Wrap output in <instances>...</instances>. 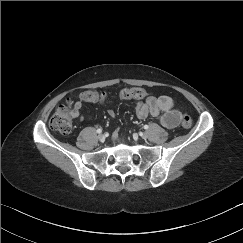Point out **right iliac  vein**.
Wrapping results in <instances>:
<instances>
[{
  "mask_svg": "<svg viewBox=\"0 0 243 243\" xmlns=\"http://www.w3.org/2000/svg\"><path fill=\"white\" fill-rule=\"evenodd\" d=\"M97 138L99 141H103L105 139L104 135L102 134H99Z\"/></svg>",
  "mask_w": 243,
  "mask_h": 243,
  "instance_id": "63e3f726",
  "label": "right iliac vein"
}]
</instances>
